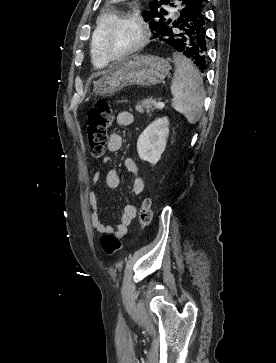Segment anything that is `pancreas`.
Masks as SVG:
<instances>
[{"label": "pancreas", "instance_id": "obj_1", "mask_svg": "<svg viewBox=\"0 0 276 363\" xmlns=\"http://www.w3.org/2000/svg\"><path fill=\"white\" fill-rule=\"evenodd\" d=\"M156 104V101L153 99L141 100L137 103L135 109L140 113L145 111L146 113L151 114L154 110L161 109Z\"/></svg>", "mask_w": 276, "mask_h": 363}]
</instances>
